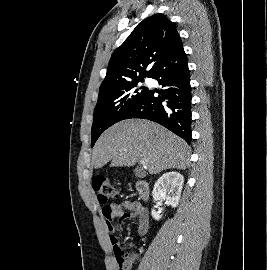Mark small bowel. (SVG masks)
Masks as SVG:
<instances>
[{"instance_id":"obj_1","label":"small bowel","mask_w":267,"mask_h":270,"mask_svg":"<svg viewBox=\"0 0 267 270\" xmlns=\"http://www.w3.org/2000/svg\"><path fill=\"white\" fill-rule=\"evenodd\" d=\"M107 230L110 234V241L114 245L116 238V228L113 224L115 220L123 222L127 219H134L137 222V232L140 236H145L149 230V217L145 208L135 201H119L106 206L102 210Z\"/></svg>"}]
</instances>
